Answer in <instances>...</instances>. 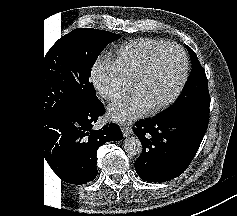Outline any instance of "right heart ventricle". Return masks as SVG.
<instances>
[{
	"instance_id": "right-heart-ventricle-1",
	"label": "right heart ventricle",
	"mask_w": 237,
	"mask_h": 216,
	"mask_svg": "<svg viewBox=\"0 0 237 216\" xmlns=\"http://www.w3.org/2000/svg\"><path fill=\"white\" fill-rule=\"evenodd\" d=\"M170 48V40L131 42L116 55V69L121 75L135 76L140 65L150 62L157 55L167 54Z\"/></svg>"
}]
</instances>
